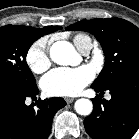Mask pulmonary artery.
<instances>
[{"mask_svg": "<svg viewBox=\"0 0 139 139\" xmlns=\"http://www.w3.org/2000/svg\"><path fill=\"white\" fill-rule=\"evenodd\" d=\"M93 48V43L92 40L90 38H86L82 41L81 46L79 48V50L81 51V53H83L84 55H87L90 53L91 49Z\"/></svg>", "mask_w": 139, "mask_h": 139, "instance_id": "pulmonary-artery-1", "label": "pulmonary artery"}]
</instances>
